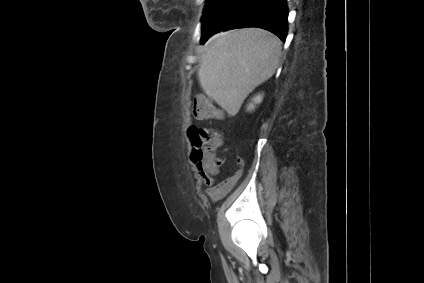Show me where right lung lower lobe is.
<instances>
[{
	"mask_svg": "<svg viewBox=\"0 0 424 283\" xmlns=\"http://www.w3.org/2000/svg\"><path fill=\"white\" fill-rule=\"evenodd\" d=\"M286 0H228L226 5L202 28V44L213 34L245 27H257L287 36Z\"/></svg>",
	"mask_w": 424,
	"mask_h": 283,
	"instance_id": "obj_1",
	"label": "right lung lower lobe"
}]
</instances>
